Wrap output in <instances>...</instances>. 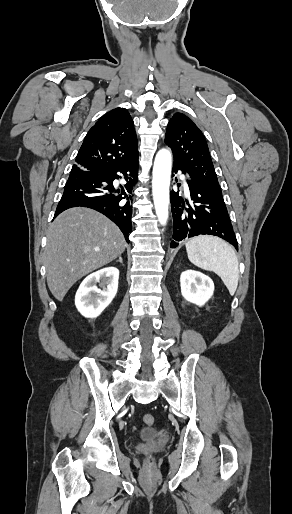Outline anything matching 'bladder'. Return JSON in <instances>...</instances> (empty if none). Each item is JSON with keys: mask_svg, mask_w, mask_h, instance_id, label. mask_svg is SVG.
Wrapping results in <instances>:
<instances>
[{"mask_svg": "<svg viewBox=\"0 0 292 514\" xmlns=\"http://www.w3.org/2000/svg\"><path fill=\"white\" fill-rule=\"evenodd\" d=\"M156 434V431L153 428H145L141 431L140 437L144 440L152 439Z\"/></svg>", "mask_w": 292, "mask_h": 514, "instance_id": "31cf9c89", "label": "bladder"}]
</instances>
